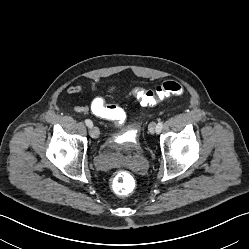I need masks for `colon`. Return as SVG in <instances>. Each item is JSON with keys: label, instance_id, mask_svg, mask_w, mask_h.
<instances>
[{"label": "colon", "instance_id": "5ec220e1", "mask_svg": "<svg viewBox=\"0 0 249 249\" xmlns=\"http://www.w3.org/2000/svg\"><path fill=\"white\" fill-rule=\"evenodd\" d=\"M184 92L183 85L175 80H167L157 85L153 90L135 87L132 91L133 96L144 106H153L158 102L170 97L179 96ZM114 112L111 116L115 115ZM113 191L126 196L133 191V177L125 170L119 171L112 181Z\"/></svg>", "mask_w": 249, "mask_h": 249}]
</instances>
